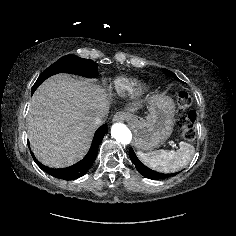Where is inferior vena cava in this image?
Returning a JSON list of instances; mask_svg holds the SVG:
<instances>
[{"instance_id": "obj_1", "label": "inferior vena cava", "mask_w": 236, "mask_h": 236, "mask_svg": "<svg viewBox=\"0 0 236 236\" xmlns=\"http://www.w3.org/2000/svg\"><path fill=\"white\" fill-rule=\"evenodd\" d=\"M106 117H107V113L100 115V116H96L92 121V126L94 128H98L99 126L104 124Z\"/></svg>"}]
</instances>
